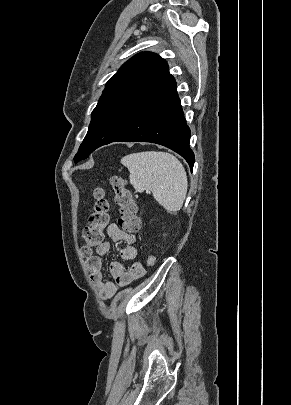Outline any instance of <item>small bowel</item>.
I'll return each instance as SVG.
<instances>
[{
    "label": "small bowel",
    "instance_id": "1",
    "mask_svg": "<svg viewBox=\"0 0 291 405\" xmlns=\"http://www.w3.org/2000/svg\"><path fill=\"white\" fill-rule=\"evenodd\" d=\"M108 240L103 242L97 249L94 256L86 259V266L90 271L91 281L103 300L112 298L117 286L124 287L129 285L133 280L139 278L144 273V268L140 262H134L129 269L118 261L111 262L109 266L110 274L113 281L104 279L102 272L101 256L110 251L111 245L117 242L126 244L120 251V256L124 261H133L137 257V249L133 246L135 236L123 231L117 224L112 223L107 227Z\"/></svg>",
    "mask_w": 291,
    "mask_h": 405
}]
</instances>
